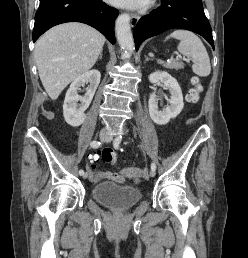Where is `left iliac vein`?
<instances>
[{
	"label": "left iliac vein",
	"mask_w": 248,
	"mask_h": 258,
	"mask_svg": "<svg viewBox=\"0 0 248 258\" xmlns=\"http://www.w3.org/2000/svg\"><path fill=\"white\" fill-rule=\"evenodd\" d=\"M106 141L111 142L112 141V136H109ZM154 176H155V171L151 170L150 171V177H154Z\"/></svg>",
	"instance_id": "obj_1"
}]
</instances>
